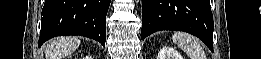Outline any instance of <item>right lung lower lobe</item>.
Segmentation results:
<instances>
[{"label":"right lung lower lobe","mask_w":261,"mask_h":59,"mask_svg":"<svg viewBox=\"0 0 261 59\" xmlns=\"http://www.w3.org/2000/svg\"><path fill=\"white\" fill-rule=\"evenodd\" d=\"M111 0H45L39 47L50 38L81 35L105 46L106 15Z\"/></svg>","instance_id":"98d812e1"}]
</instances>
